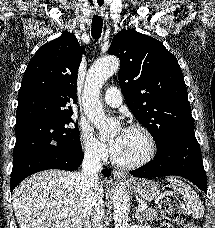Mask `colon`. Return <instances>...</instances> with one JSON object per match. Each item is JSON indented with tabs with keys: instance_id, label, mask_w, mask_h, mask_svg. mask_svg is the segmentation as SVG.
<instances>
[{
	"instance_id": "colon-1",
	"label": "colon",
	"mask_w": 215,
	"mask_h": 228,
	"mask_svg": "<svg viewBox=\"0 0 215 228\" xmlns=\"http://www.w3.org/2000/svg\"><path fill=\"white\" fill-rule=\"evenodd\" d=\"M159 211L165 218L162 228H178L185 222V215L180 206L169 197L159 201ZM186 228H199L198 225H187Z\"/></svg>"
}]
</instances>
